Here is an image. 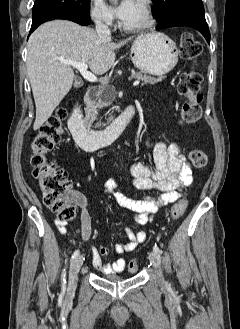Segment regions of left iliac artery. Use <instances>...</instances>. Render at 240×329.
Masks as SVG:
<instances>
[{
  "label": "left iliac artery",
  "mask_w": 240,
  "mask_h": 329,
  "mask_svg": "<svg viewBox=\"0 0 240 329\" xmlns=\"http://www.w3.org/2000/svg\"><path fill=\"white\" fill-rule=\"evenodd\" d=\"M153 251L157 252L158 254L160 253V249L156 244L153 247Z\"/></svg>",
  "instance_id": "left-iliac-artery-1"
}]
</instances>
